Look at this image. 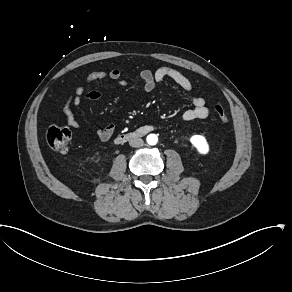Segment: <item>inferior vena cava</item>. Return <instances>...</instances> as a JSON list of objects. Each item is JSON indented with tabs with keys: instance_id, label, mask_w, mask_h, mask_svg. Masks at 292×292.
<instances>
[{
	"instance_id": "602c4592",
	"label": "inferior vena cava",
	"mask_w": 292,
	"mask_h": 292,
	"mask_svg": "<svg viewBox=\"0 0 292 292\" xmlns=\"http://www.w3.org/2000/svg\"><path fill=\"white\" fill-rule=\"evenodd\" d=\"M129 145L134 148H139L144 145V141L141 138L135 137L129 141Z\"/></svg>"
}]
</instances>
